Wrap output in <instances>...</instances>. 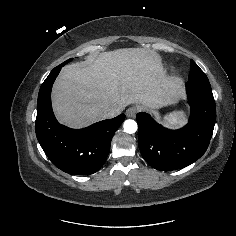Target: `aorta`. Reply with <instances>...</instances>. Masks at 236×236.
I'll return each instance as SVG.
<instances>
[{"label":"aorta","instance_id":"aorta-1","mask_svg":"<svg viewBox=\"0 0 236 236\" xmlns=\"http://www.w3.org/2000/svg\"><path fill=\"white\" fill-rule=\"evenodd\" d=\"M123 128L126 133L133 134L137 131L138 126L134 120L128 119L124 122Z\"/></svg>","mask_w":236,"mask_h":236}]
</instances>
